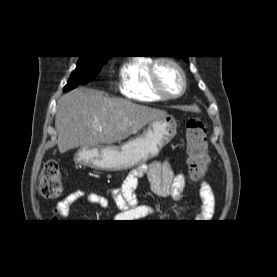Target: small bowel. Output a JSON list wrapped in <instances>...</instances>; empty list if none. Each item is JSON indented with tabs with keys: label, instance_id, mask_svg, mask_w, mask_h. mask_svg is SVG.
I'll return each instance as SVG.
<instances>
[{
	"label": "small bowel",
	"instance_id": "1",
	"mask_svg": "<svg viewBox=\"0 0 277 277\" xmlns=\"http://www.w3.org/2000/svg\"><path fill=\"white\" fill-rule=\"evenodd\" d=\"M147 175L151 190L158 196L171 197L174 201L180 202L183 198L185 188V177L183 174H175L168 161H154L148 165H141L134 169L126 177L123 185L119 189H112L107 194L75 190L66 195L52 212L51 220L58 222L66 219L70 214V209L77 202H88L102 209L110 207V200L120 210L117 215L118 220L124 222H135L142 218L154 215V208L140 204L135 195L139 179ZM199 197L201 203L198 206L195 219H210L214 212L215 196L210 185L203 181L199 187Z\"/></svg>",
	"mask_w": 277,
	"mask_h": 277
}]
</instances>
